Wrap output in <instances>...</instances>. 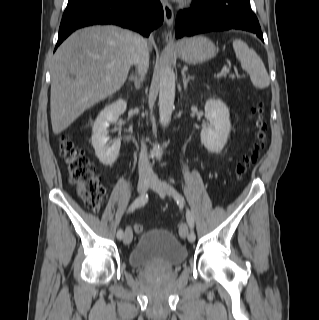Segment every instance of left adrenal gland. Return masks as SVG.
Instances as JSON below:
<instances>
[{"label":"left adrenal gland","mask_w":319,"mask_h":320,"mask_svg":"<svg viewBox=\"0 0 319 320\" xmlns=\"http://www.w3.org/2000/svg\"><path fill=\"white\" fill-rule=\"evenodd\" d=\"M182 76H183V86H184V89H186L189 81L194 78L190 75L186 77V73L183 70H182Z\"/></svg>","instance_id":"obj_1"}]
</instances>
